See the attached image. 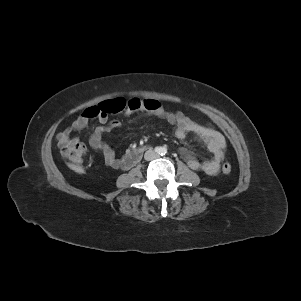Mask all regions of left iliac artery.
<instances>
[{
	"label": "left iliac artery",
	"mask_w": 301,
	"mask_h": 301,
	"mask_svg": "<svg viewBox=\"0 0 301 301\" xmlns=\"http://www.w3.org/2000/svg\"><path fill=\"white\" fill-rule=\"evenodd\" d=\"M162 153L163 154L167 153V149L165 147L162 149Z\"/></svg>",
	"instance_id": "left-iliac-artery-1"
}]
</instances>
